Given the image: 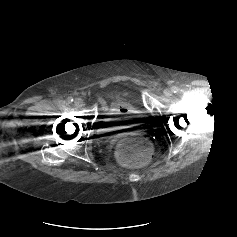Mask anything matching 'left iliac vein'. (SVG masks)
I'll return each instance as SVG.
<instances>
[{"instance_id": "1", "label": "left iliac vein", "mask_w": 237, "mask_h": 237, "mask_svg": "<svg viewBox=\"0 0 237 237\" xmlns=\"http://www.w3.org/2000/svg\"><path fill=\"white\" fill-rule=\"evenodd\" d=\"M164 95L166 96V97H170V96H172V90L171 89H165L164 90Z\"/></svg>"}]
</instances>
